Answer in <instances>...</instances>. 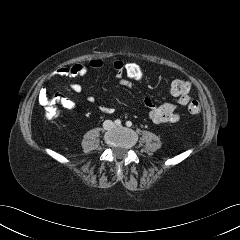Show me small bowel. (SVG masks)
I'll use <instances>...</instances> for the list:
<instances>
[{
    "instance_id": "obj_1",
    "label": "small bowel",
    "mask_w": 240,
    "mask_h": 240,
    "mask_svg": "<svg viewBox=\"0 0 240 240\" xmlns=\"http://www.w3.org/2000/svg\"><path fill=\"white\" fill-rule=\"evenodd\" d=\"M124 62L121 60H115L112 63L113 70L116 77L119 79L122 86L126 88L132 87V82L129 81L123 75ZM89 67L94 70H100L104 67V62L99 58H94L89 61ZM89 73V68L84 63H75L71 66L61 67L58 70V74L67 77H85ZM71 91L75 93H81L83 91V85L77 82H73L69 85ZM191 97L188 94L177 97L175 102H166L161 105H156L150 98L143 99L144 106L149 110V118L155 124L176 123L180 120L179 107L188 104ZM39 103L42 106L48 107L53 104H60L65 109H74L76 103L74 100L67 96L58 93L53 97H49L46 89H41L38 95ZM86 101L92 103L95 101L93 95H87ZM100 110L104 113L111 114L114 112V108L109 106H101Z\"/></svg>"
}]
</instances>
